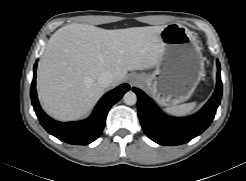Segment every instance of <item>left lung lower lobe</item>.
<instances>
[{
  "label": "left lung lower lobe",
  "instance_id": "obj_1",
  "mask_svg": "<svg viewBox=\"0 0 246 181\" xmlns=\"http://www.w3.org/2000/svg\"><path fill=\"white\" fill-rule=\"evenodd\" d=\"M217 67V84L214 94L198 113L183 119L165 116L144 92L133 88L138 96V115L142 128L151 140L167 146L184 144L200 135L210 125L222 96L218 60Z\"/></svg>",
  "mask_w": 246,
  "mask_h": 181
}]
</instances>
